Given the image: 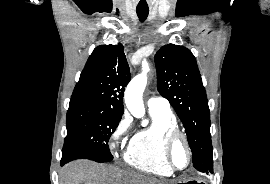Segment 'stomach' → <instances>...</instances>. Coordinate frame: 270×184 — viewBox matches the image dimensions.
Wrapping results in <instances>:
<instances>
[{
	"label": "stomach",
	"instance_id": "0dacf381",
	"mask_svg": "<svg viewBox=\"0 0 270 184\" xmlns=\"http://www.w3.org/2000/svg\"><path fill=\"white\" fill-rule=\"evenodd\" d=\"M180 184H206L202 179L191 178L179 182Z\"/></svg>",
	"mask_w": 270,
	"mask_h": 184
}]
</instances>
